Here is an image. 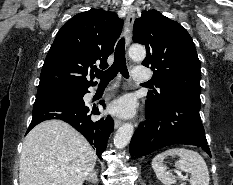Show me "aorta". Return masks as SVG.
<instances>
[{
  "instance_id": "aorta-1",
  "label": "aorta",
  "mask_w": 233,
  "mask_h": 185,
  "mask_svg": "<svg viewBox=\"0 0 233 185\" xmlns=\"http://www.w3.org/2000/svg\"><path fill=\"white\" fill-rule=\"evenodd\" d=\"M129 57L134 61H142L146 57V50L141 45H132L129 48ZM134 127L131 123H125L116 132L114 145L117 149L124 148L131 140Z\"/></svg>"
}]
</instances>
